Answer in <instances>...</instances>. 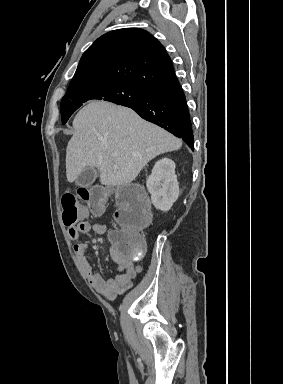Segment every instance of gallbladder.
Listing matches in <instances>:
<instances>
[{
  "label": "gallbladder",
  "mask_w": 283,
  "mask_h": 384,
  "mask_svg": "<svg viewBox=\"0 0 283 384\" xmlns=\"http://www.w3.org/2000/svg\"><path fill=\"white\" fill-rule=\"evenodd\" d=\"M96 174L97 172L94 168H85L81 176H78L76 180L77 186H80V188H88V186H91V184L95 182Z\"/></svg>",
  "instance_id": "bac80fb5"
}]
</instances>
